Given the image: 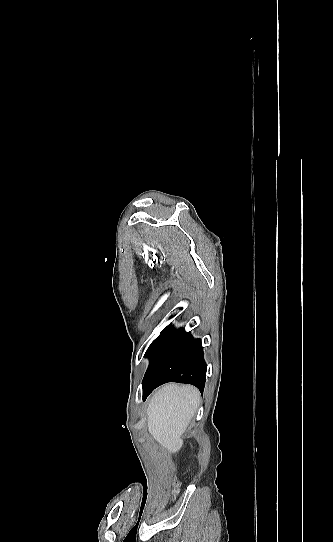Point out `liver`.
<instances>
[{
	"mask_svg": "<svg viewBox=\"0 0 333 542\" xmlns=\"http://www.w3.org/2000/svg\"><path fill=\"white\" fill-rule=\"evenodd\" d=\"M200 402L193 386L167 384L154 394L147 408V428L160 446L176 454L183 446L186 432Z\"/></svg>",
	"mask_w": 333,
	"mask_h": 542,
	"instance_id": "liver-1",
	"label": "liver"
}]
</instances>
